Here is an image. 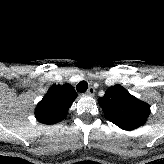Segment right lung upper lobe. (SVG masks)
Returning <instances> with one entry per match:
<instances>
[{
  "instance_id": "1",
  "label": "right lung upper lobe",
  "mask_w": 164,
  "mask_h": 164,
  "mask_svg": "<svg viewBox=\"0 0 164 164\" xmlns=\"http://www.w3.org/2000/svg\"><path fill=\"white\" fill-rule=\"evenodd\" d=\"M77 93L70 84L52 86L35 109L38 121L54 124L65 119Z\"/></svg>"
}]
</instances>
